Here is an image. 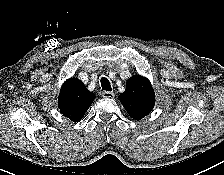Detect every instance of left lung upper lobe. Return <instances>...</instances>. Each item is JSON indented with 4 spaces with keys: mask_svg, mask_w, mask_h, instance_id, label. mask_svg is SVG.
Masks as SVG:
<instances>
[{
    "mask_svg": "<svg viewBox=\"0 0 224 175\" xmlns=\"http://www.w3.org/2000/svg\"><path fill=\"white\" fill-rule=\"evenodd\" d=\"M120 101L128 114L135 120L148 115L155 104V95L150 81L140 75L131 77L126 84Z\"/></svg>",
    "mask_w": 224,
    "mask_h": 175,
    "instance_id": "5c2ea615",
    "label": "left lung upper lobe"
}]
</instances>
